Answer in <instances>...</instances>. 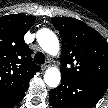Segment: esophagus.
<instances>
[{
	"label": "esophagus",
	"mask_w": 108,
	"mask_h": 108,
	"mask_svg": "<svg viewBox=\"0 0 108 108\" xmlns=\"http://www.w3.org/2000/svg\"><path fill=\"white\" fill-rule=\"evenodd\" d=\"M49 65H50V63H49V62H46L45 64H43V65L41 66V69H42V70H46V69L49 67Z\"/></svg>",
	"instance_id": "34e87169"
}]
</instances>
